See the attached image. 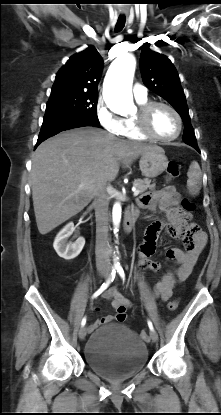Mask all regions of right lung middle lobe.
<instances>
[{"label":"right lung middle lobe","instance_id":"dd1d6c3e","mask_svg":"<svg viewBox=\"0 0 221 415\" xmlns=\"http://www.w3.org/2000/svg\"><path fill=\"white\" fill-rule=\"evenodd\" d=\"M98 93L64 91L51 93L46 114H72L99 122L97 117Z\"/></svg>","mask_w":221,"mask_h":415}]
</instances>
